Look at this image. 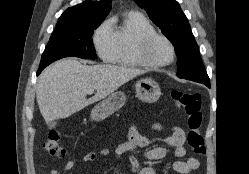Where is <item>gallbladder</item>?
I'll list each match as a JSON object with an SVG mask.
<instances>
[{"instance_id":"1","label":"gallbladder","mask_w":249,"mask_h":174,"mask_svg":"<svg viewBox=\"0 0 249 174\" xmlns=\"http://www.w3.org/2000/svg\"><path fill=\"white\" fill-rule=\"evenodd\" d=\"M47 124H48L49 128H54L56 126V122L55 121L48 122Z\"/></svg>"}]
</instances>
